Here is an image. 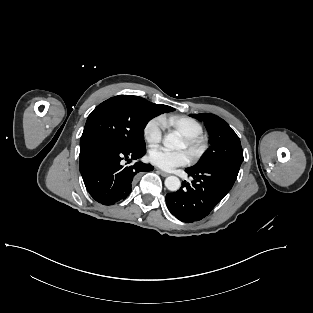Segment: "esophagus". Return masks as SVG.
<instances>
[{
    "instance_id": "obj_1",
    "label": "esophagus",
    "mask_w": 313,
    "mask_h": 313,
    "mask_svg": "<svg viewBox=\"0 0 313 313\" xmlns=\"http://www.w3.org/2000/svg\"><path fill=\"white\" fill-rule=\"evenodd\" d=\"M157 172H158L161 176H163V177H167V176L170 175L169 173L164 172V171H162V170H157Z\"/></svg>"
}]
</instances>
